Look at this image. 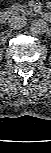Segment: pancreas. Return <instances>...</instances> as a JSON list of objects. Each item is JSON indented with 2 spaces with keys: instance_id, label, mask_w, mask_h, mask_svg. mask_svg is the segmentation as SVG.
Listing matches in <instances>:
<instances>
[{
  "instance_id": "1",
  "label": "pancreas",
  "mask_w": 51,
  "mask_h": 153,
  "mask_svg": "<svg viewBox=\"0 0 51 153\" xmlns=\"http://www.w3.org/2000/svg\"><path fill=\"white\" fill-rule=\"evenodd\" d=\"M8 12L11 15H17V14H26L29 15L30 11L27 10V6L20 5V4H14L9 9Z\"/></svg>"
}]
</instances>
